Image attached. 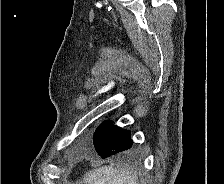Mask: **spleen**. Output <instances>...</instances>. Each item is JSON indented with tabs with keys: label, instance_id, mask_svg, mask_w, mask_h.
<instances>
[{
	"label": "spleen",
	"instance_id": "3e777b00",
	"mask_svg": "<svg viewBox=\"0 0 224 184\" xmlns=\"http://www.w3.org/2000/svg\"><path fill=\"white\" fill-rule=\"evenodd\" d=\"M85 184H139L138 179L128 169L103 166L86 173Z\"/></svg>",
	"mask_w": 224,
	"mask_h": 184
}]
</instances>
